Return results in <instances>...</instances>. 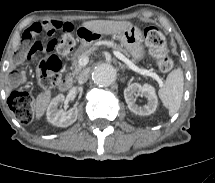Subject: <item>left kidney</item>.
<instances>
[{
  "label": "left kidney",
  "mask_w": 215,
  "mask_h": 183,
  "mask_svg": "<svg viewBox=\"0 0 215 183\" xmlns=\"http://www.w3.org/2000/svg\"><path fill=\"white\" fill-rule=\"evenodd\" d=\"M136 93H140L147 99V104L145 106L140 107L137 104H135ZM124 98L128 105L129 110L138 115L143 116L150 115L156 110L158 105L155 89L148 84H144L143 86H141L138 83L130 84L124 90Z\"/></svg>",
  "instance_id": "left-kidney-1"
}]
</instances>
